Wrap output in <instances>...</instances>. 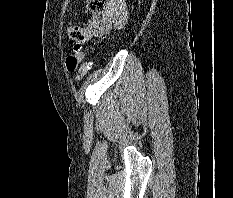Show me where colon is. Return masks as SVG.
<instances>
[{"instance_id":"obj_1","label":"colon","mask_w":233,"mask_h":198,"mask_svg":"<svg viewBox=\"0 0 233 198\" xmlns=\"http://www.w3.org/2000/svg\"><path fill=\"white\" fill-rule=\"evenodd\" d=\"M107 4L108 0H88V8L91 12V18L88 22V25L85 27H69V35L71 39L76 42L77 47H79L81 43H84L90 39L92 30L94 26L98 23L102 13L105 11ZM79 62L80 61L78 60L76 55L72 54L66 59V67L69 71H74L77 68ZM90 69L91 63L89 61L84 62L78 70L77 79H83L89 73Z\"/></svg>"}]
</instances>
